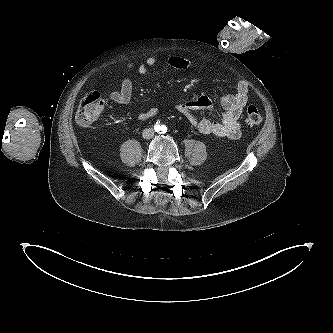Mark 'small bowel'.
<instances>
[{
	"instance_id": "obj_1",
	"label": "small bowel",
	"mask_w": 333,
	"mask_h": 333,
	"mask_svg": "<svg viewBox=\"0 0 333 333\" xmlns=\"http://www.w3.org/2000/svg\"><path fill=\"white\" fill-rule=\"evenodd\" d=\"M159 59L149 57L139 64L128 63V69L137 68L141 74H145L153 67L159 64ZM165 63L177 68L186 69L191 65L188 59L171 56L165 60ZM133 94V83L130 78H124L118 90L111 91L108 95L109 99L118 104H127L130 102ZM249 97L248 85L244 81H240L236 86L233 94L224 95L221 98V105L224 109L221 121H212L206 118H200L196 115L197 111H212L214 104L207 96H199L189 101L175 103L174 108L184 115L197 130L204 135H214L217 137H225L236 140L241 136L239 117L245 107ZM159 112L158 107H152L138 115L139 120H147L154 117Z\"/></svg>"
}]
</instances>
